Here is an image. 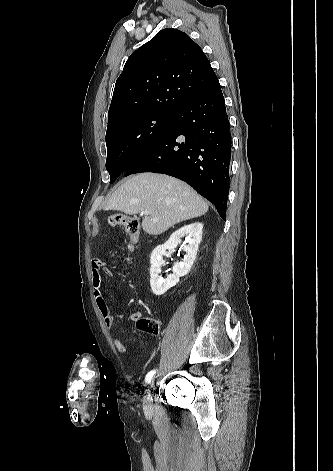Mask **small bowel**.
Wrapping results in <instances>:
<instances>
[{
    "mask_svg": "<svg viewBox=\"0 0 333 471\" xmlns=\"http://www.w3.org/2000/svg\"><path fill=\"white\" fill-rule=\"evenodd\" d=\"M106 262L102 259H93L91 261V275L93 283V294L97 307L103 317L105 325L108 329H111L116 320L122 319L123 314L113 313L106 301L102 290V275L107 277H115V274L106 267ZM141 317L140 313L132 314L129 317V321H137ZM114 346L120 353H126L127 347L124 342L117 338L114 340Z\"/></svg>",
    "mask_w": 333,
    "mask_h": 471,
    "instance_id": "obj_1",
    "label": "small bowel"
}]
</instances>
